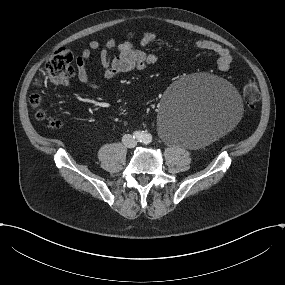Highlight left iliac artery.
Returning <instances> with one entry per match:
<instances>
[{
    "instance_id": "obj_1",
    "label": "left iliac artery",
    "mask_w": 285,
    "mask_h": 285,
    "mask_svg": "<svg viewBox=\"0 0 285 285\" xmlns=\"http://www.w3.org/2000/svg\"><path fill=\"white\" fill-rule=\"evenodd\" d=\"M151 142V136L149 134H145L143 138L144 144H149Z\"/></svg>"
}]
</instances>
